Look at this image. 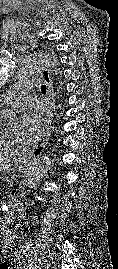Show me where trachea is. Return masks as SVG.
Wrapping results in <instances>:
<instances>
[{"instance_id": "trachea-1", "label": "trachea", "mask_w": 118, "mask_h": 269, "mask_svg": "<svg viewBox=\"0 0 118 269\" xmlns=\"http://www.w3.org/2000/svg\"><path fill=\"white\" fill-rule=\"evenodd\" d=\"M41 91H42L43 93H46V86H45V85H42V86H41Z\"/></svg>"}]
</instances>
